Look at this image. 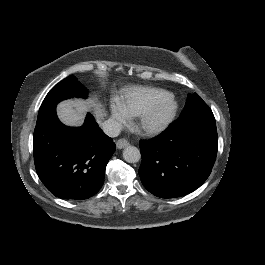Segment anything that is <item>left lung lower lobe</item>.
<instances>
[{"instance_id":"left-lung-lower-lobe-1","label":"left lung lower lobe","mask_w":265,"mask_h":265,"mask_svg":"<svg viewBox=\"0 0 265 265\" xmlns=\"http://www.w3.org/2000/svg\"><path fill=\"white\" fill-rule=\"evenodd\" d=\"M217 146L216 122L208 106L180 115L159 136L140 142L142 184L162 198L196 190L211 173Z\"/></svg>"}]
</instances>
